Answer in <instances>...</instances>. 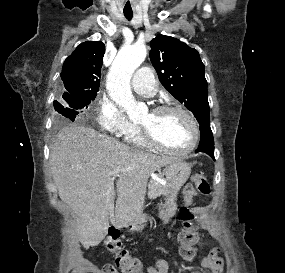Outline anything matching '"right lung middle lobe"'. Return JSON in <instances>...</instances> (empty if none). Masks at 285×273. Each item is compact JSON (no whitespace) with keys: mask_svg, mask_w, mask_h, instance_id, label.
<instances>
[{"mask_svg":"<svg viewBox=\"0 0 285 273\" xmlns=\"http://www.w3.org/2000/svg\"><path fill=\"white\" fill-rule=\"evenodd\" d=\"M97 94L84 95V96H70L64 97L60 102L55 101L54 107L58 114V120L64 118L74 121L80 111L87 109L88 105L96 98Z\"/></svg>","mask_w":285,"mask_h":273,"instance_id":"dd1d6c3e","label":"right lung middle lobe"}]
</instances>
